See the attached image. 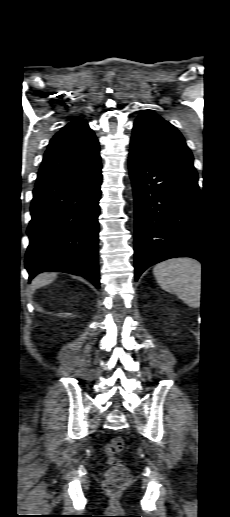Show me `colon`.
Wrapping results in <instances>:
<instances>
[{"instance_id":"obj_1","label":"colon","mask_w":230,"mask_h":517,"mask_svg":"<svg viewBox=\"0 0 230 517\" xmlns=\"http://www.w3.org/2000/svg\"><path fill=\"white\" fill-rule=\"evenodd\" d=\"M124 449V441L120 437L112 438L105 446V453L109 458L110 467L104 476L103 485L110 494L122 491L130 482L131 474L128 468L115 459V454Z\"/></svg>"}]
</instances>
